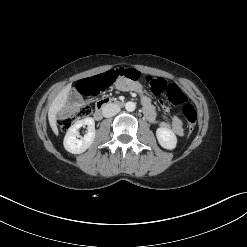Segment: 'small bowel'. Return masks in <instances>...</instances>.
I'll return each instance as SVG.
<instances>
[{
	"instance_id": "1",
	"label": "small bowel",
	"mask_w": 247,
	"mask_h": 247,
	"mask_svg": "<svg viewBox=\"0 0 247 247\" xmlns=\"http://www.w3.org/2000/svg\"><path fill=\"white\" fill-rule=\"evenodd\" d=\"M116 89L120 91L138 93L142 98L146 116L151 122L157 123L162 129L172 130L178 136L183 135L184 131L182 121L177 115H173L170 119L164 121H159L157 119L155 111L149 102V99L143 94V88L137 81L125 77L120 78L116 83Z\"/></svg>"
}]
</instances>
